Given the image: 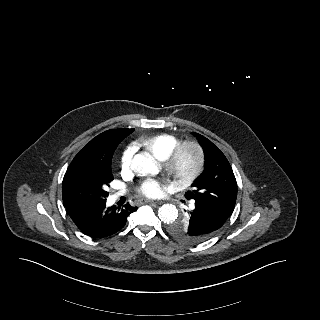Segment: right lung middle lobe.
<instances>
[{
  "instance_id": "obj_1",
  "label": "right lung middle lobe",
  "mask_w": 320,
  "mask_h": 320,
  "mask_svg": "<svg viewBox=\"0 0 320 320\" xmlns=\"http://www.w3.org/2000/svg\"><path fill=\"white\" fill-rule=\"evenodd\" d=\"M111 160L110 157L106 162L93 160L86 163L70 164L62 183L64 205H82L105 201L109 195L106 188L113 180Z\"/></svg>"
}]
</instances>
